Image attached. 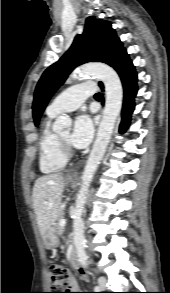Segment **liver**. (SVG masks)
Returning a JSON list of instances; mask_svg holds the SVG:
<instances>
[{
    "instance_id": "liver-1",
    "label": "liver",
    "mask_w": 170,
    "mask_h": 293,
    "mask_svg": "<svg viewBox=\"0 0 170 293\" xmlns=\"http://www.w3.org/2000/svg\"><path fill=\"white\" fill-rule=\"evenodd\" d=\"M64 189L62 173L48 174L35 181L32 199L38 227L42 236L50 230L61 210Z\"/></svg>"
}]
</instances>
